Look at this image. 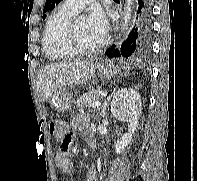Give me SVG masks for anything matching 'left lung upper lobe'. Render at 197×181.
<instances>
[{
    "mask_svg": "<svg viewBox=\"0 0 197 181\" xmlns=\"http://www.w3.org/2000/svg\"><path fill=\"white\" fill-rule=\"evenodd\" d=\"M61 0H46L43 12H47L50 9H53ZM46 18V15H43V19Z\"/></svg>",
    "mask_w": 197,
    "mask_h": 181,
    "instance_id": "1",
    "label": "left lung upper lobe"
}]
</instances>
